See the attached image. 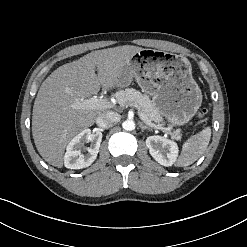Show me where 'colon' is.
Listing matches in <instances>:
<instances>
[{
  "instance_id": "5ec220e1",
  "label": "colon",
  "mask_w": 247,
  "mask_h": 247,
  "mask_svg": "<svg viewBox=\"0 0 247 247\" xmlns=\"http://www.w3.org/2000/svg\"><path fill=\"white\" fill-rule=\"evenodd\" d=\"M205 113H206V110L201 108L198 110L197 115L198 117H203Z\"/></svg>"
}]
</instances>
